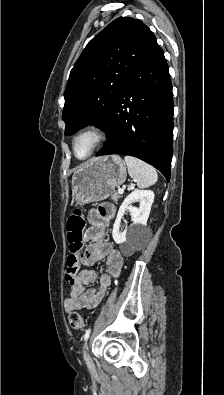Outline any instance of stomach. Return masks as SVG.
Masks as SVG:
<instances>
[{"mask_svg": "<svg viewBox=\"0 0 224 395\" xmlns=\"http://www.w3.org/2000/svg\"><path fill=\"white\" fill-rule=\"evenodd\" d=\"M126 177V166L119 156L91 159L72 176V199L79 205L104 200Z\"/></svg>", "mask_w": 224, "mask_h": 395, "instance_id": "stomach-1", "label": "stomach"}]
</instances>
